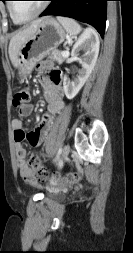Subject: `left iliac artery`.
Wrapping results in <instances>:
<instances>
[{
    "instance_id": "obj_1",
    "label": "left iliac artery",
    "mask_w": 133,
    "mask_h": 253,
    "mask_svg": "<svg viewBox=\"0 0 133 253\" xmlns=\"http://www.w3.org/2000/svg\"><path fill=\"white\" fill-rule=\"evenodd\" d=\"M61 152H62V149L60 148V149L58 150V153H57L55 159H54V162L57 161V160H59L60 155H61Z\"/></svg>"
}]
</instances>
